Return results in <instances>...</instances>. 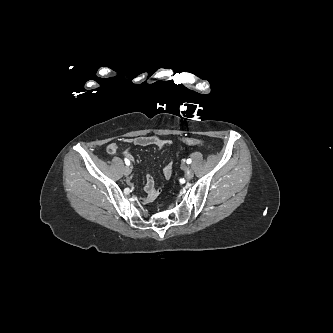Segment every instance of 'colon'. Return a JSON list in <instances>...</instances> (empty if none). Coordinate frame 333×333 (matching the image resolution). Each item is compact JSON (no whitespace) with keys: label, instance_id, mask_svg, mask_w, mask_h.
<instances>
[{"label":"colon","instance_id":"1","mask_svg":"<svg viewBox=\"0 0 333 333\" xmlns=\"http://www.w3.org/2000/svg\"><path fill=\"white\" fill-rule=\"evenodd\" d=\"M183 142L190 146H205L207 145L205 141L198 138H185Z\"/></svg>","mask_w":333,"mask_h":333}]
</instances>
